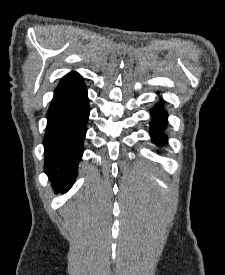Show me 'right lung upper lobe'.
<instances>
[{"label": "right lung upper lobe", "instance_id": "right-lung-upper-lobe-1", "mask_svg": "<svg viewBox=\"0 0 225 275\" xmlns=\"http://www.w3.org/2000/svg\"><path fill=\"white\" fill-rule=\"evenodd\" d=\"M81 80H83V78L79 74L75 72H70L64 78L61 79L58 86L79 82Z\"/></svg>", "mask_w": 225, "mask_h": 275}]
</instances>
